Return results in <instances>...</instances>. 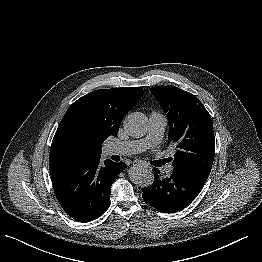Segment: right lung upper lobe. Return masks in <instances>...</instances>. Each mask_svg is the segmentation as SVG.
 I'll list each match as a JSON object with an SVG mask.
<instances>
[{
	"label": "right lung upper lobe",
	"mask_w": 262,
	"mask_h": 262,
	"mask_svg": "<svg viewBox=\"0 0 262 262\" xmlns=\"http://www.w3.org/2000/svg\"><path fill=\"white\" fill-rule=\"evenodd\" d=\"M143 94L140 87L95 90L66 111L50 148V165L100 157L106 138L116 135L123 117Z\"/></svg>",
	"instance_id": "1"
}]
</instances>
